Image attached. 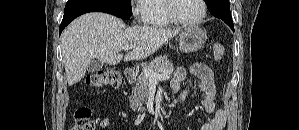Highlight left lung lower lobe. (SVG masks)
Returning <instances> with one entry per match:
<instances>
[{"label": "left lung lower lobe", "instance_id": "1", "mask_svg": "<svg viewBox=\"0 0 299 130\" xmlns=\"http://www.w3.org/2000/svg\"><path fill=\"white\" fill-rule=\"evenodd\" d=\"M211 14L214 15L215 17L219 18V19H222L234 31V25H233V21H232L231 15L223 16L222 14L216 13V12H211Z\"/></svg>", "mask_w": 299, "mask_h": 130}]
</instances>
